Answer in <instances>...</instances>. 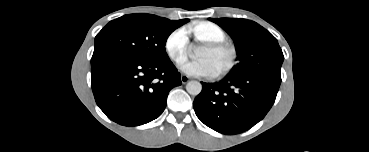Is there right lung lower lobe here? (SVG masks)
<instances>
[{"label":"right lung lower lobe","mask_w":369,"mask_h":152,"mask_svg":"<svg viewBox=\"0 0 369 152\" xmlns=\"http://www.w3.org/2000/svg\"><path fill=\"white\" fill-rule=\"evenodd\" d=\"M91 79L99 108L124 126L142 125L159 117L169 91L181 85L180 73L169 58H107L91 65Z\"/></svg>","instance_id":"1"}]
</instances>
